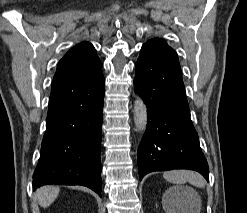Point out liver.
<instances>
[{"label":"liver","mask_w":247,"mask_h":213,"mask_svg":"<svg viewBox=\"0 0 247 213\" xmlns=\"http://www.w3.org/2000/svg\"><path fill=\"white\" fill-rule=\"evenodd\" d=\"M60 188L56 186H44L36 191V198L41 207H49L59 194Z\"/></svg>","instance_id":"obj_1"}]
</instances>
